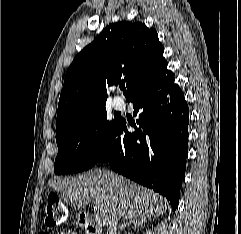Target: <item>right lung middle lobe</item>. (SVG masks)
Here are the masks:
<instances>
[{"label":"right lung middle lobe","mask_w":241,"mask_h":234,"mask_svg":"<svg viewBox=\"0 0 241 234\" xmlns=\"http://www.w3.org/2000/svg\"><path fill=\"white\" fill-rule=\"evenodd\" d=\"M118 122L119 118L108 120L105 107H101L84 120L56 131L58 154L54 173L62 175L92 168L108 147Z\"/></svg>","instance_id":"right-lung-middle-lobe-1"}]
</instances>
